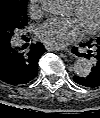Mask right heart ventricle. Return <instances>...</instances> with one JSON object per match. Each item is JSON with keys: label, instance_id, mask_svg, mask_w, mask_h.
<instances>
[{"label": "right heart ventricle", "instance_id": "1", "mask_svg": "<svg viewBox=\"0 0 100 118\" xmlns=\"http://www.w3.org/2000/svg\"><path fill=\"white\" fill-rule=\"evenodd\" d=\"M71 3H74L75 1H77V0H69Z\"/></svg>", "mask_w": 100, "mask_h": 118}]
</instances>
